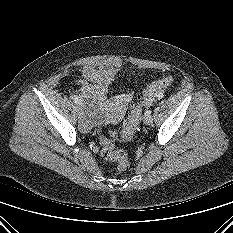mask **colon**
<instances>
[{"label":"colon","instance_id":"5ec220e1","mask_svg":"<svg viewBox=\"0 0 233 233\" xmlns=\"http://www.w3.org/2000/svg\"><path fill=\"white\" fill-rule=\"evenodd\" d=\"M172 83L173 77L166 76L150 84L143 93L138 96L137 101L132 104L122 129L119 131H110L111 137L121 141L131 140L134 137L141 121L142 107L159 98L162 91L168 88ZM100 143L102 146V157L105 160L115 162L116 170L118 172L125 171L128 167L127 154L122 150L115 149L113 140L106 136H102L100 138Z\"/></svg>","mask_w":233,"mask_h":233}]
</instances>
